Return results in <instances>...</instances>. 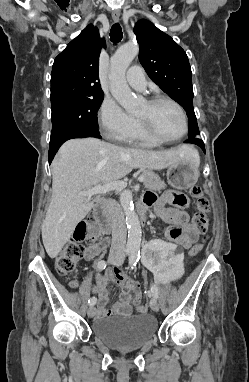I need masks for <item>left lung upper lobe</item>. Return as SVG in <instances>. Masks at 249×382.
Returning <instances> with one entry per match:
<instances>
[{
    "label": "left lung upper lobe",
    "mask_w": 249,
    "mask_h": 382,
    "mask_svg": "<svg viewBox=\"0 0 249 382\" xmlns=\"http://www.w3.org/2000/svg\"><path fill=\"white\" fill-rule=\"evenodd\" d=\"M140 46L139 60L148 76L187 113L189 138L198 137L193 108L192 72L185 51L148 20L134 28Z\"/></svg>",
    "instance_id": "obj_1"
}]
</instances>
